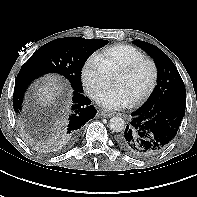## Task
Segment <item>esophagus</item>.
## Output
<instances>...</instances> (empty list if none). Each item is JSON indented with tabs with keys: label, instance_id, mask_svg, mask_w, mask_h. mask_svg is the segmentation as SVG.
I'll use <instances>...</instances> for the list:
<instances>
[{
	"label": "esophagus",
	"instance_id": "34e87169",
	"mask_svg": "<svg viewBox=\"0 0 197 197\" xmlns=\"http://www.w3.org/2000/svg\"><path fill=\"white\" fill-rule=\"evenodd\" d=\"M99 115L104 117V118H110L113 116V113L110 111L102 110L99 112Z\"/></svg>",
	"mask_w": 197,
	"mask_h": 197
}]
</instances>
